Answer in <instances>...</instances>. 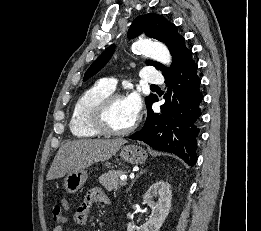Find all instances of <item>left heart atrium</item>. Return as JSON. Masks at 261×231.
<instances>
[{"label":"left heart atrium","instance_id":"39dd6f15","mask_svg":"<svg viewBox=\"0 0 261 231\" xmlns=\"http://www.w3.org/2000/svg\"><path fill=\"white\" fill-rule=\"evenodd\" d=\"M125 99L132 114L137 117L141 111L142 106L140 95L137 92H133L129 94Z\"/></svg>","mask_w":261,"mask_h":231}]
</instances>
